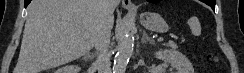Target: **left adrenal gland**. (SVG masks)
I'll use <instances>...</instances> for the list:
<instances>
[{
  "label": "left adrenal gland",
  "mask_w": 244,
  "mask_h": 73,
  "mask_svg": "<svg viewBox=\"0 0 244 73\" xmlns=\"http://www.w3.org/2000/svg\"><path fill=\"white\" fill-rule=\"evenodd\" d=\"M147 42H149L151 44L155 43V41L152 38H150L145 31H143V36L141 38V43L144 44V43H147Z\"/></svg>",
  "instance_id": "left-adrenal-gland-1"
}]
</instances>
